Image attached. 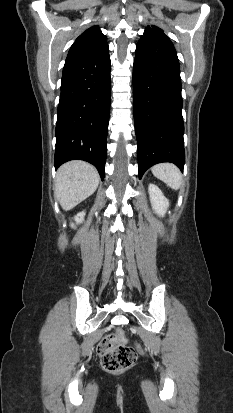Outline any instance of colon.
<instances>
[{
    "instance_id": "1",
    "label": "colon",
    "mask_w": 233,
    "mask_h": 413,
    "mask_svg": "<svg viewBox=\"0 0 233 413\" xmlns=\"http://www.w3.org/2000/svg\"><path fill=\"white\" fill-rule=\"evenodd\" d=\"M101 365L108 372H123L130 368L137 359V350L126 344L122 330L104 337L98 344Z\"/></svg>"
}]
</instances>
